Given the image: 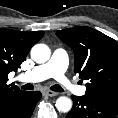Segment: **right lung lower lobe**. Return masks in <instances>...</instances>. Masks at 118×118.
<instances>
[{"instance_id":"right-lung-lower-lobe-1","label":"right lung lower lobe","mask_w":118,"mask_h":118,"mask_svg":"<svg viewBox=\"0 0 118 118\" xmlns=\"http://www.w3.org/2000/svg\"><path fill=\"white\" fill-rule=\"evenodd\" d=\"M40 99L39 91L26 92L22 96L2 104L0 118H30Z\"/></svg>"}]
</instances>
